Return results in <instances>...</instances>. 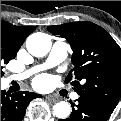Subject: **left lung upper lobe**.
Instances as JSON below:
<instances>
[{
	"mask_svg": "<svg viewBox=\"0 0 121 121\" xmlns=\"http://www.w3.org/2000/svg\"><path fill=\"white\" fill-rule=\"evenodd\" d=\"M48 31L65 38L72 47L74 69L66 82L75 91L114 110L121 96V48L102 27L92 22H73L48 26ZM74 71V73H73ZM84 84H79L78 81Z\"/></svg>",
	"mask_w": 121,
	"mask_h": 121,
	"instance_id": "obj_1",
	"label": "left lung upper lobe"
}]
</instances>
